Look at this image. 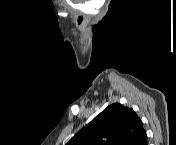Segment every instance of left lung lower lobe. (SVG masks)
<instances>
[{"mask_svg":"<svg viewBox=\"0 0 176 145\" xmlns=\"http://www.w3.org/2000/svg\"><path fill=\"white\" fill-rule=\"evenodd\" d=\"M140 145H148L147 143V136L143 139L142 143Z\"/></svg>","mask_w":176,"mask_h":145,"instance_id":"1","label":"left lung lower lobe"}]
</instances>
